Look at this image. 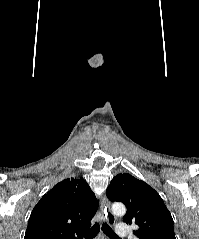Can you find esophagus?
Wrapping results in <instances>:
<instances>
[{"mask_svg": "<svg viewBox=\"0 0 199 239\" xmlns=\"http://www.w3.org/2000/svg\"><path fill=\"white\" fill-rule=\"evenodd\" d=\"M101 209L103 210L107 223L110 225H114L116 218L111 212L110 203L108 199L106 198V196H103L101 199Z\"/></svg>", "mask_w": 199, "mask_h": 239, "instance_id": "obj_1", "label": "esophagus"}]
</instances>
